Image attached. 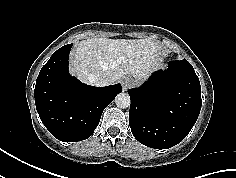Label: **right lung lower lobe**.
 Listing matches in <instances>:
<instances>
[{
  "label": "right lung lower lobe",
  "mask_w": 236,
  "mask_h": 178,
  "mask_svg": "<svg viewBox=\"0 0 236 178\" xmlns=\"http://www.w3.org/2000/svg\"><path fill=\"white\" fill-rule=\"evenodd\" d=\"M72 44L58 49L42 67L35 85V104L42 123L58 140L77 142L90 137L103 110L122 91L120 84L87 86L68 73Z\"/></svg>",
  "instance_id": "right-lung-lower-lobe-1"
}]
</instances>
